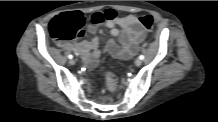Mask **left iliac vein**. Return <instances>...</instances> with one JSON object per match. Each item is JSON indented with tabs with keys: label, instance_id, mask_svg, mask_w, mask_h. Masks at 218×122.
Wrapping results in <instances>:
<instances>
[{
	"label": "left iliac vein",
	"instance_id": "left-iliac-vein-1",
	"mask_svg": "<svg viewBox=\"0 0 218 122\" xmlns=\"http://www.w3.org/2000/svg\"><path fill=\"white\" fill-rule=\"evenodd\" d=\"M141 64H142L141 59H136V60H135V65H136V66H140Z\"/></svg>",
	"mask_w": 218,
	"mask_h": 122
}]
</instances>
